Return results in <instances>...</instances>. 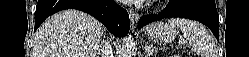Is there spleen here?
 Instances as JSON below:
<instances>
[{
    "label": "spleen",
    "mask_w": 249,
    "mask_h": 57,
    "mask_svg": "<svg viewBox=\"0 0 249 57\" xmlns=\"http://www.w3.org/2000/svg\"><path fill=\"white\" fill-rule=\"evenodd\" d=\"M169 23L180 28L193 51L201 53L202 57H214L215 43L202 24L184 18H171Z\"/></svg>",
    "instance_id": "1"
}]
</instances>
